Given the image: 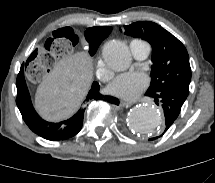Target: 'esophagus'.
<instances>
[{
  "mask_svg": "<svg viewBox=\"0 0 215 183\" xmlns=\"http://www.w3.org/2000/svg\"><path fill=\"white\" fill-rule=\"evenodd\" d=\"M134 104V102H129V101H120V106L121 107H130V106H132Z\"/></svg>",
  "mask_w": 215,
  "mask_h": 183,
  "instance_id": "1",
  "label": "esophagus"
}]
</instances>
